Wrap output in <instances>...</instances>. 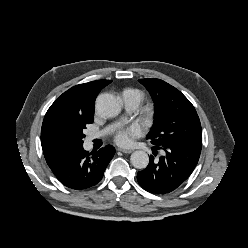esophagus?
Returning a JSON list of instances; mask_svg holds the SVG:
<instances>
[{
	"instance_id": "esophagus-1",
	"label": "esophagus",
	"mask_w": 248,
	"mask_h": 248,
	"mask_svg": "<svg viewBox=\"0 0 248 248\" xmlns=\"http://www.w3.org/2000/svg\"><path fill=\"white\" fill-rule=\"evenodd\" d=\"M118 150L125 154H130L133 151L131 149H125V148H118Z\"/></svg>"
}]
</instances>
